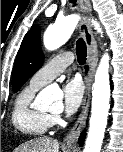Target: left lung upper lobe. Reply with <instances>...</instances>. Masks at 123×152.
Returning <instances> with one entry per match:
<instances>
[{"mask_svg": "<svg viewBox=\"0 0 123 152\" xmlns=\"http://www.w3.org/2000/svg\"><path fill=\"white\" fill-rule=\"evenodd\" d=\"M43 60L44 55L40 47V28L33 25L25 35L16 57L12 79L15 92L40 69Z\"/></svg>", "mask_w": 123, "mask_h": 152, "instance_id": "5c2ea615", "label": "left lung upper lobe"}]
</instances>
